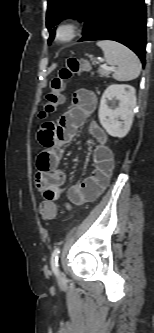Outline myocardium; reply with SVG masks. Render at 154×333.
I'll return each instance as SVG.
<instances>
[{"label":"myocardium","mask_w":154,"mask_h":333,"mask_svg":"<svg viewBox=\"0 0 154 333\" xmlns=\"http://www.w3.org/2000/svg\"><path fill=\"white\" fill-rule=\"evenodd\" d=\"M80 23L75 18H69L61 21L56 27V39L61 43L73 41L79 32Z\"/></svg>","instance_id":"myocardium-1"}]
</instances>
